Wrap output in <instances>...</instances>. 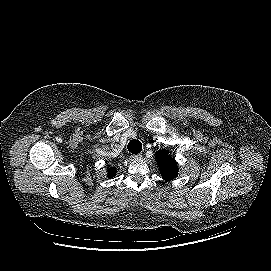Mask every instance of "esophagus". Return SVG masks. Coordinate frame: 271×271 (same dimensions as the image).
Here are the masks:
<instances>
[{
  "mask_svg": "<svg viewBox=\"0 0 271 271\" xmlns=\"http://www.w3.org/2000/svg\"><path fill=\"white\" fill-rule=\"evenodd\" d=\"M132 158H134V159H140V158H142V154L141 153L134 154V155H132Z\"/></svg>",
  "mask_w": 271,
  "mask_h": 271,
  "instance_id": "esophagus-1",
  "label": "esophagus"
}]
</instances>
